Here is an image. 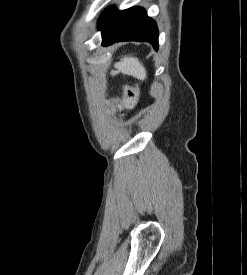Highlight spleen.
Masks as SVG:
<instances>
[{"mask_svg":"<svg viewBox=\"0 0 247 275\" xmlns=\"http://www.w3.org/2000/svg\"><path fill=\"white\" fill-rule=\"evenodd\" d=\"M114 67L116 71H112V74L122 72L123 74L133 76L137 79H146V70L142 63L136 57H124L119 62L115 63Z\"/></svg>","mask_w":247,"mask_h":275,"instance_id":"obj_1","label":"spleen"}]
</instances>
